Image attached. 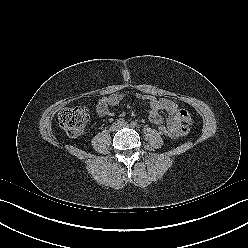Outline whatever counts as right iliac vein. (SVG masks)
I'll return each mask as SVG.
<instances>
[{
	"mask_svg": "<svg viewBox=\"0 0 248 248\" xmlns=\"http://www.w3.org/2000/svg\"><path fill=\"white\" fill-rule=\"evenodd\" d=\"M120 129V124H118V123H115V124H113L111 127H110V131H112V132H116L117 130H119Z\"/></svg>",
	"mask_w": 248,
	"mask_h": 248,
	"instance_id": "obj_1",
	"label": "right iliac vein"
}]
</instances>
